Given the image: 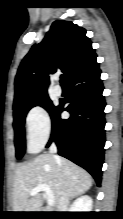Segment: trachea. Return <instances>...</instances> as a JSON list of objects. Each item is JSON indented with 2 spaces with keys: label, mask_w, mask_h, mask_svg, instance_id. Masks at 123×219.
<instances>
[{
  "label": "trachea",
  "mask_w": 123,
  "mask_h": 219,
  "mask_svg": "<svg viewBox=\"0 0 123 219\" xmlns=\"http://www.w3.org/2000/svg\"><path fill=\"white\" fill-rule=\"evenodd\" d=\"M64 80H65V77H64V76H61L60 82H61L62 85H65V81H64Z\"/></svg>",
  "instance_id": "3493384b"
}]
</instances>
